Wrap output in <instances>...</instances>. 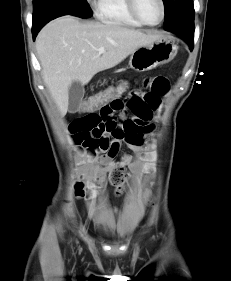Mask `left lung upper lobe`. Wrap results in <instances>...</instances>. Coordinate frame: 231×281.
I'll return each instance as SVG.
<instances>
[{"mask_svg": "<svg viewBox=\"0 0 231 281\" xmlns=\"http://www.w3.org/2000/svg\"><path fill=\"white\" fill-rule=\"evenodd\" d=\"M165 8L164 26L169 30L175 23L194 18L193 0H163Z\"/></svg>", "mask_w": 231, "mask_h": 281, "instance_id": "left-lung-upper-lobe-1", "label": "left lung upper lobe"}]
</instances>
